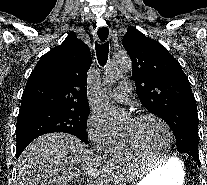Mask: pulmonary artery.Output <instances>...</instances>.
I'll use <instances>...</instances> for the list:
<instances>
[{
    "mask_svg": "<svg viewBox=\"0 0 207 185\" xmlns=\"http://www.w3.org/2000/svg\"><path fill=\"white\" fill-rule=\"evenodd\" d=\"M130 91H132L131 81H122V86L114 89L112 96L117 101L126 103L130 100Z\"/></svg>",
    "mask_w": 207,
    "mask_h": 185,
    "instance_id": "pulmonary-artery-1",
    "label": "pulmonary artery"
}]
</instances>
